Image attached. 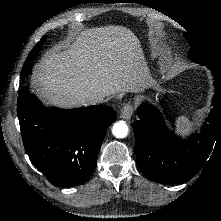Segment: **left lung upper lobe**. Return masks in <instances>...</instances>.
<instances>
[{
	"label": "left lung upper lobe",
	"instance_id": "5c2ea615",
	"mask_svg": "<svg viewBox=\"0 0 221 221\" xmlns=\"http://www.w3.org/2000/svg\"><path fill=\"white\" fill-rule=\"evenodd\" d=\"M184 36L191 46L189 50V58L195 63L206 65L210 68V64L204 50L196 42H194L187 33H185Z\"/></svg>",
	"mask_w": 221,
	"mask_h": 221
}]
</instances>
